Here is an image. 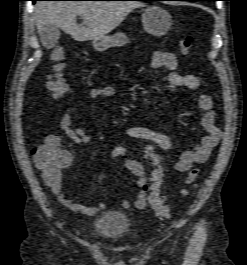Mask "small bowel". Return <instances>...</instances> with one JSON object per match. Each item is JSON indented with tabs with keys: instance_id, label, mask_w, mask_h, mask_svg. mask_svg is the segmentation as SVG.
<instances>
[{
	"instance_id": "obj_1",
	"label": "small bowel",
	"mask_w": 247,
	"mask_h": 265,
	"mask_svg": "<svg viewBox=\"0 0 247 265\" xmlns=\"http://www.w3.org/2000/svg\"><path fill=\"white\" fill-rule=\"evenodd\" d=\"M151 67L154 70L165 69L168 71L167 83L173 88H186L195 90L199 87L198 77L192 74H181L177 71L178 58L170 52L156 51L152 56ZM117 89L114 86H106L95 88L89 92L91 98L114 97ZM196 106L204 112L201 124L207 135L202 139L201 143L196 145L192 150L184 151L174 162V169L178 172H188L194 164L204 163L210 156L213 149L221 140L222 132L215 124L216 112L214 110L213 98L208 94H200L196 100ZM76 111L75 107H69L67 112L59 121V128L66 136L75 143L84 145L90 142V136L82 129L73 127L72 114ZM125 134L132 139H138L149 142L151 145L157 146L163 150H170L173 146L172 140L166 134L155 131L150 128L139 125H132L126 128ZM45 146L49 148H57L64 152L66 156V168L73 162L71 152L61 148L60 139L56 135H49L45 139ZM38 168L42 170L44 179L52 192L56 195L58 201L72 211L93 216L106 208L105 203H98L95 206H85L79 202L69 199L63 192L64 169L58 171H49L43 168L36 160ZM125 167L135 177V185L139 189L134 205L138 209L146 208L148 204L147 191L149 189L147 177L143 164L134 159H127ZM121 206L124 209L131 207L128 200H123Z\"/></svg>"
}]
</instances>
